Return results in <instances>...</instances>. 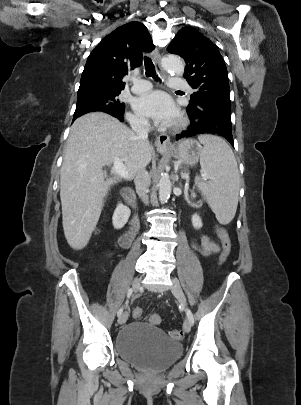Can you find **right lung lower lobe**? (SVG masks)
Here are the masks:
<instances>
[{
    "instance_id": "right-lung-lower-lobe-1",
    "label": "right lung lower lobe",
    "mask_w": 301,
    "mask_h": 405,
    "mask_svg": "<svg viewBox=\"0 0 301 405\" xmlns=\"http://www.w3.org/2000/svg\"><path fill=\"white\" fill-rule=\"evenodd\" d=\"M112 116L118 118L120 121H123V114L122 115H117V114H111ZM76 118H74L75 120Z\"/></svg>"
}]
</instances>
